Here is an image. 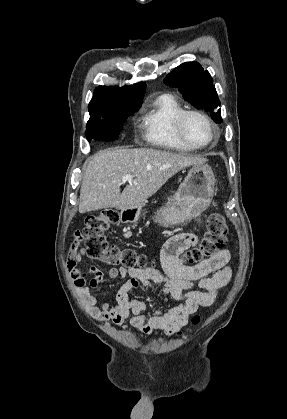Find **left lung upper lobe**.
Segmentation results:
<instances>
[{"instance_id":"left-lung-upper-lobe-1","label":"left lung upper lobe","mask_w":287,"mask_h":419,"mask_svg":"<svg viewBox=\"0 0 287 419\" xmlns=\"http://www.w3.org/2000/svg\"><path fill=\"white\" fill-rule=\"evenodd\" d=\"M164 82L177 88L188 102L197 109H205L212 119L220 124L222 122L220 101L212 84L213 80L208 71L197 62H186L170 72Z\"/></svg>"}]
</instances>
